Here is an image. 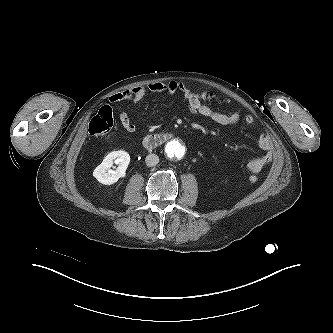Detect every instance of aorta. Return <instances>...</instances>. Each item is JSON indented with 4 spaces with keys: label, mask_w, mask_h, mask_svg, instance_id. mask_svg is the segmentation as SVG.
I'll list each match as a JSON object with an SVG mask.
<instances>
[{
    "label": "aorta",
    "mask_w": 333,
    "mask_h": 333,
    "mask_svg": "<svg viewBox=\"0 0 333 333\" xmlns=\"http://www.w3.org/2000/svg\"><path fill=\"white\" fill-rule=\"evenodd\" d=\"M165 151L170 159H181L185 153V149L179 141L169 142L166 145Z\"/></svg>",
    "instance_id": "obj_1"
}]
</instances>
